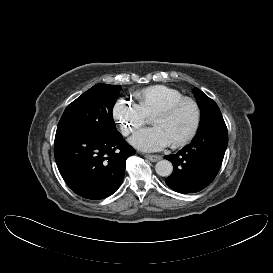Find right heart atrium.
Wrapping results in <instances>:
<instances>
[{
  "label": "right heart atrium",
  "instance_id": "right-heart-atrium-1",
  "mask_svg": "<svg viewBox=\"0 0 273 273\" xmlns=\"http://www.w3.org/2000/svg\"><path fill=\"white\" fill-rule=\"evenodd\" d=\"M112 117L124 136H128L149 121L137 104L126 100L115 103Z\"/></svg>",
  "mask_w": 273,
  "mask_h": 273
}]
</instances>
